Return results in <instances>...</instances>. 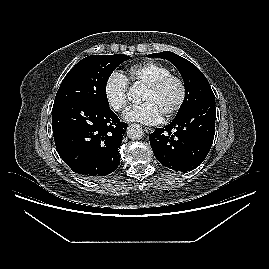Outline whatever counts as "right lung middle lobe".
Instances as JSON below:
<instances>
[{
  "label": "right lung middle lobe",
  "mask_w": 269,
  "mask_h": 269,
  "mask_svg": "<svg viewBox=\"0 0 269 269\" xmlns=\"http://www.w3.org/2000/svg\"><path fill=\"white\" fill-rule=\"evenodd\" d=\"M128 59L130 56L123 54L85 57L63 79L54 104L79 101L109 108L107 81L114 69Z\"/></svg>",
  "instance_id": "dd1d6c3e"
}]
</instances>
